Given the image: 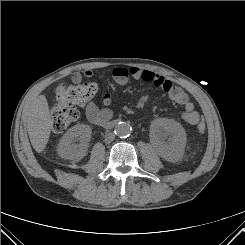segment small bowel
Listing matches in <instances>:
<instances>
[{
    "label": "small bowel",
    "instance_id": "small-bowel-1",
    "mask_svg": "<svg viewBox=\"0 0 245 245\" xmlns=\"http://www.w3.org/2000/svg\"><path fill=\"white\" fill-rule=\"evenodd\" d=\"M93 75L94 72L91 69H87L83 73L76 72L72 75V81L74 83H80L83 80V76L92 77ZM112 76L114 81L121 86L126 85L130 79L152 83L166 92L172 101L182 106L183 112L181 117L186 123L196 125L201 120V116L195 109L188 94L180 87L174 85L171 80L158 73L139 67H115L112 70ZM102 101L106 106L104 108L98 107L93 101L85 105L87 119L100 126H104L113 116L112 110L108 108L112 102L111 95L105 94Z\"/></svg>",
    "mask_w": 245,
    "mask_h": 245
}]
</instances>
